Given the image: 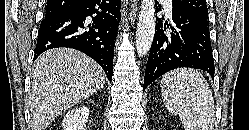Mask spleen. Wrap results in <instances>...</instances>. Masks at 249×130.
<instances>
[{
	"instance_id": "obj_1",
	"label": "spleen",
	"mask_w": 249,
	"mask_h": 130,
	"mask_svg": "<svg viewBox=\"0 0 249 130\" xmlns=\"http://www.w3.org/2000/svg\"><path fill=\"white\" fill-rule=\"evenodd\" d=\"M161 96L167 109L178 115L185 130H214L215 106L204 76L192 68H180L161 79Z\"/></svg>"
}]
</instances>
